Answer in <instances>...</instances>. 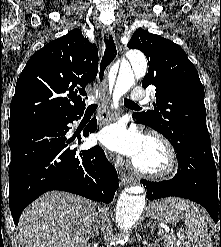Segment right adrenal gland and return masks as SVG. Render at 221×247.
<instances>
[{
	"label": "right adrenal gland",
	"mask_w": 221,
	"mask_h": 247,
	"mask_svg": "<svg viewBox=\"0 0 221 247\" xmlns=\"http://www.w3.org/2000/svg\"><path fill=\"white\" fill-rule=\"evenodd\" d=\"M99 234L98 226L95 224L94 232H92L89 238H95Z\"/></svg>",
	"instance_id": "obj_1"
}]
</instances>
